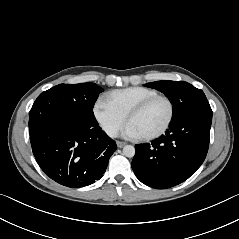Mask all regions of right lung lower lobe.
<instances>
[{
  "label": "right lung lower lobe",
  "mask_w": 239,
  "mask_h": 239,
  "mask_svg": "<svg viewBox=\"0 0 239 239\" xmlns=\"http://www.w3.org/2000/svg\"><path fill=\"white\" fill-rule=\"evenodd\" d=\"M33 154L57 183L79 188L99 180L117 149L98 124L86 128L46 126L30 134Z\"/></svg>",
  "instance_id": "1"
}]
</instances>
